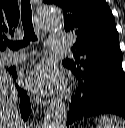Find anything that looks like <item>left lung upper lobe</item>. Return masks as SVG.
I'll use <instances>...</instances> for the list:
<instances>
[{"label": "left lung upper lobe", "instance_id": "1", "mask_svg": "<svg viewBox=\"0 0 125 128\" xmlns=\"http://www.w3.org/2000/svg\"><path fill=\"white\" fill-rule=\"evenodd\" d=\"M64 12V28L77 39L72 58L63 61L88 83L122 69V52L114 16L105 0H43Z\"/></svg>", "mask_w": 125, "mask_h": 128}]
</instances>
